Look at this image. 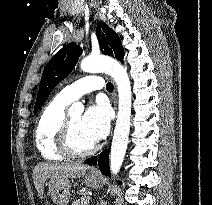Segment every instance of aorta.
<instances>
[{
    "mask_svg": "<svg viewBox=\"0 0 212 205\" xmlns=\"http://www.w3.org/2000/svg\"><path fill=\"white\" fill-rule=\"evenodd\" d=\"M80 67L86 73H107L117 85L118 114L110 152V170L111 174L116 176L125 157L130 132L132 93L129 76L126 69L118 61L102 55L84 58ZM72 109L80 111L82 105L75 104Z\"/></svg>",
    "mask_w": 212,
    "mask_h": 205,
    "instance_id": "obj_1",
    "label": "aorta"
}]
</instances>
